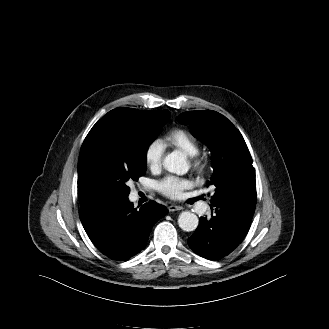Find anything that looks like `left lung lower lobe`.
<instances>
[{"label":"left lung lower lobe","instance_id":"1","mask_svg":"<svg viewBox=\"0 0 329 329\" xmlns=\"http://www.w3.org/2000/svg\"><path fill=\"white\" fill-rule=\"evenodd\" d=\"M256 205L255 172L227 200L212 202L210 219L201 217L189 247L198 255L216 260L231 253L244 239Z\"/></svg>","mask_w":329,"mask_h":329}]
</instances>
